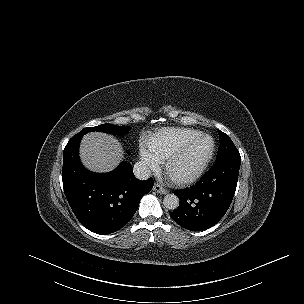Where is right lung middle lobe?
I'll return each instance as SVG.
<instances>
[{"mask_svg":"<svg viewBox=\"0 0 304 304\" xmlns=\"http://www.w3.org/2000/svg\"><path fill=\"white\" fill-rule=\"evenodd\" d=\"M130 130V127H122V126H116V125H111V124H102L96 127H87L82 129L78 134L79 135H84L88 132L91 131H100V132H105V133H110L114 135H124L128 133Z\"/></svg>","mask_w":304,"mask_h":304,"instance_id":"right-lung-middle-lobe-1","label":"right lung middle lobe"}]
</instances>
